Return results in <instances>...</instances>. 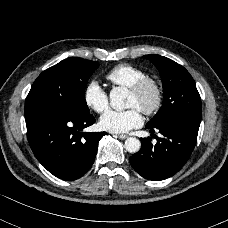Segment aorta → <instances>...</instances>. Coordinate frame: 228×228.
Segmentation results:
<instances>
[{"mask_svg": "<svg viewBox=\"0 0 228 228\" xmlns=\"http://www.w3.org/2000/svg\"><path fill=\"white\" fill-rule=\"evenodd\" d=\"M129 91L125 87H114L110 91V106L116 111L126 109L125 99L128 97ZM125 149L129 153H136L140 150L141 142L135 137H129L125 141Z\"/></svg>", "mask_w": 228, "mask_h": 228, "instance_id": "762f6f07", "label": "aorta"}]
</instances>
